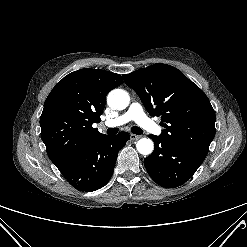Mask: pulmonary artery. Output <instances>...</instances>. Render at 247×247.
Returning <instances> with one entry per match:
<instances>
[{"instance_id":"obj_1","label":"pulmonary artery","mask_w":247,"mask_h":247,"mask_svg":"<svg viewBox=\"0 0 247 247\" xmlns=\"http://www.w3.org/2000/svg\"><path fill=\"white\" fill-rule=\"evenodd\" d=\"M129 121H135L139 126L153 134L161 133L160 127L147 117L142 106L137 102L132 103L124 114L117 118L107 120L104 125L107 127L121 126Z\"/></svg>"}]
</instances>
